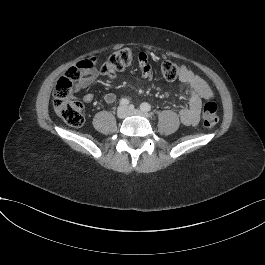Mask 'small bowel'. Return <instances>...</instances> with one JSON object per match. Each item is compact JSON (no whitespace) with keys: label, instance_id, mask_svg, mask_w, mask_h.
<instances>
[{"label":"small bowel","instance_id":"obj_1","mask_svg":"<svg viewBox=\"0 0 265 265\" xmlns=\"http://www.w3.org/2000/svg\"><path fill=\"white\" fill-rule=\"evenodd\" d=\"M138 69L142 78L146 80L152 79V69L144 55L139 56ZM98 75L99 72L95 68L86 72L83 75V78L74 85L73 92H78L81 89L90 86L96 80ZM179 82L182 90H184L188 97V105L179 113L180 120L184 125L195 126L200 121L202 100L211 99L213 96L212 90L205 80L184 65L181 67ZM93 99L94 95L91 92H88L83 96V101L85 103H91ZM115 100L116 95L112 92L104 95V101L108 104L113 103Z\"/></svg>","mask_w":265,"mask_h":265}]
</instances>
